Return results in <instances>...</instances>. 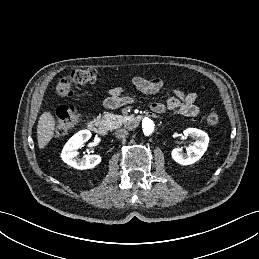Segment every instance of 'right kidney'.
<instances>
[{
  "mask_svg": "<svg viewBox=\"0 0 259 259\" xmlns=\"http://www.w3.org/2000/svg\"><path fill=\"white\" fill-rule=\"evenodd\" d=\"M90 138L91 132L89 130H81L74 134L62 150V160L68 165L80 170L94 168L98 165L101 162L100 155H84L81 159L77 157V149H79Z\"/></svg>",
  "mask_w": 259,
  "mask_h": 259,
  "instance_id": "right-kidney-1",
  "label": "right kidney"
}]
</instances>
